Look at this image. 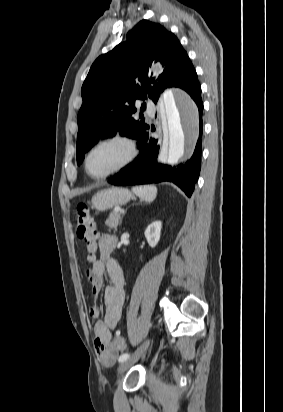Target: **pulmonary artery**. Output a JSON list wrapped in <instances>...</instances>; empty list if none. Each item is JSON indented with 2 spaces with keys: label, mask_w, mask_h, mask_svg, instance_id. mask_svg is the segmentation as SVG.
I'll return each instance as SVG.
<instances>
[{
  "label": "pulmonary artery",
  "mask_w": 283,
  "mask_h": 412,
  "mask_svg": "<svg viewBox=\"0 0 283 412\" xmlns=\"http://www.w3.org/2000/svg\"><path fill=\"white\" fill-rule=\"evenodd\" d=\"M149 114H150V115H153V110H149Z\"/></svg>",
  "instance_id": "pulmonary-artery-1"
}]
</instances>
